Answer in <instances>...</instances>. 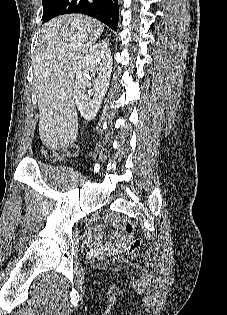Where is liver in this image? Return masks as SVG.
<instances>
[{
  "label": "liver",
  "mask_w": 227,
  "mask_h": 315,
  "mask_svg": "<svg viewBox=\"0 0 227 315\" xmlns=\"http://www.w3.org/2000/svg\"><path fill=\"white\" fill-rule=\"evenodd\" d=\"M101 22L80 14L45 23L33 57L39 108V136L49 148L66 147L78 135L74 80L90 47L100 38Z\"/></svg>",
  "instance_id": "1"
}]
</instances>
